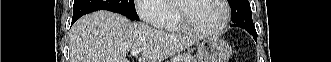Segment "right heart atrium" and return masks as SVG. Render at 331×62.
Segmentation results:
<instances>
[{
	"instance_id": "d8ad5b80",
	"label": "right heart atrium",
	"mask_w": 331,
	"mask_h": 62,
	"mask_svg": "<svg viewBox=\"0 0 331 62\" xmlns=\"http://www.w3.org/2000/svg\"><path fill=\"white\" fill-rule=\"evenodd\" d=\"M135 11L144 22L159 29L165 28L174 15L165 0H137Z\"/></svg>"
}]
</instances>
